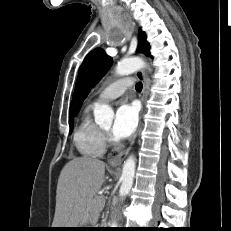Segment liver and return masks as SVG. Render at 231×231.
<instances>
[{"instance_id":"1","label":"liver","mask_w":231,"mask_h":231,"mask_svg":"<svg viewBox=\"0 0 231 231\" xmlns=\"http://www.w3.org/2000/svg\"><path fill=\"white\" fill-rule=\"evenodd\" d=\"M105 183V163L78 157L62 169L56 191L53 228H77L92 217V201Z\"/></svg>"}]
</instances>
